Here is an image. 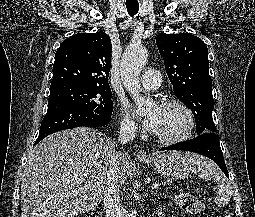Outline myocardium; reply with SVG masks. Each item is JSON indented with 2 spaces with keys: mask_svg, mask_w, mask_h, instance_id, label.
Instances as JSON below:
<instances>
[{
  "mask_svg": "<svg viewBox=\"0 0 255 217\" xmlns=\"http://www.w3.org/2000/svg\"><path fill=\"white\" fill-rule=\"evenodd\" d=\"M161 107H178L187 117V125L183 132L172 137H161L155 135V140L163 145H173L187 140L193 133L195 128V116L191 108L183 101L179 99H169L161 104Z\"/></svg>",
  "mask_w": 255,
  "mask_h": 217,
  "instance_id": "f54148a6",
  "label": "myocardium"
}]
</instances>
